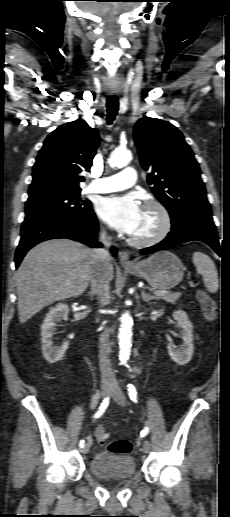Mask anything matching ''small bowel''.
Listing matches in <instances>:
<instances>
[{"label": "small bowel", "mask_w": 230, "mask_h": 517, "mask_svg": "<svg viewBox=\"0 0 230 517\" xmlns=\"http://www.w3.org/2000/svg\"><path fill=\"white\" fill-rule=\"evenodd\" d=\"M100 429H103V428L99 426V427H97V428H95V429H94L93 433H94L95 437H97V433H98V431H99ZM103 430H104V429H103Z\"/></svg>", "instance_id": "1"}]
</instances>
